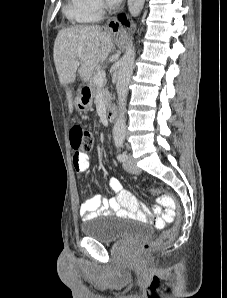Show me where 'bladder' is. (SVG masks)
I'll list each match as a JSON object with an SVG mask.
<instances>
[{"label":"bladder","mask_w":227,"mask_h":298,"mask_svg":"<svg viewBox=\"0 0 227 298\" xmlns=\"http://www.w3.org/2000/svg\"><path fill=\"white\" fill-rule=\"evenodd\" d=\"M82 234L103 243H113L131 238H142L153 233L152 227L137 220H88L81 225Z\"/></svg>","instance_id":"31cf9c89"}]
</instances>
